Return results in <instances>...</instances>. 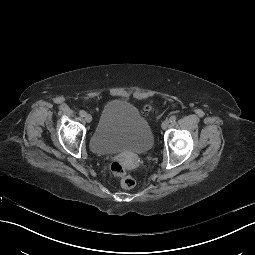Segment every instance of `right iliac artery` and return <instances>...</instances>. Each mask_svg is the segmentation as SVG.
I'll use <instances>...</instances> for the list:
<instances>
[{
	"label": "right iliac artery",
	"instance_id": "82829eb1",
	"mask_svg": "<svg viewBox=\"0 0 255 255\" xmlns=\"http://www.w3.org/2000/svg\"><path fill=\"white\" fill-rule=\"evenodd\" d=\"M79 114L80 116L84 117L86 115V112L84 110H81Z\"/></svg>",
	"mask_w": 255,
	"mask_h": 255
}]
</instances>
